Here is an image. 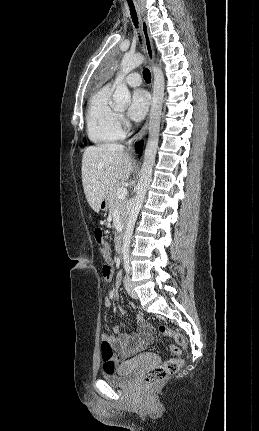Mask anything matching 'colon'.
<instances>
[{
    "label": "colon",
    "mask_w": 259,
    "mask_h": 431,
    "mask_svg": "<svg viewBox=\"0 0 259 431\" xmlns=\"http://www.w3.org/2000/svg\"><path fill=\"white\" fill-rule=\"evenodd\" d=\"M94 237L96 242L100 245V251L104 259L103 268L105 266H108L112 271L111 256L107 246L105 245L104 231L101 228H95ZM158 330L161 335L173 338L177 345L183 348L186 347L185 339L181 333L163 324L159 325ZM171 351L176 355L180 353V349L175 346L171 347ZM102 354L105 357H110L112 355V347L108 342H102ZM182 365H183V360L181 358L168 359L162 364L149 369L144 374L143 383L145 386L151 387L161 382L162 380L166 379L168 376L175 374L181 368ZM114 369L115 368L112 365H109V366H106L104 370L114 371Z\"/></svg>",
    "instance_id": "1"
}]
</instances>
